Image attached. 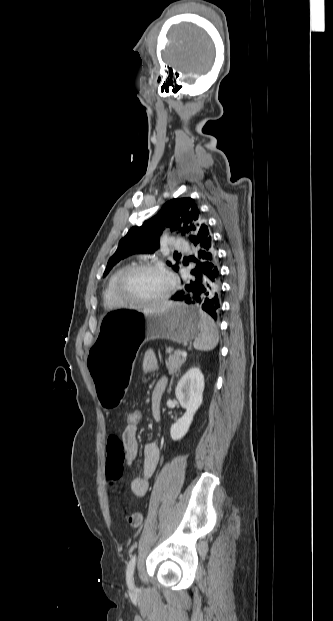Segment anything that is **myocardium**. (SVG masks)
<instances>
[{
    "mask_svg": "<svg viewBox=\"0 0 333 621\" xmlns=\"http://www.w3.org/2000/svg\"><path fill=\"white\" fill-rule=\"evenodd\" d=\"M142 270L157 271V272L162 273L164 276H166V278L168 279L169 285L164 295H162L161 297L157 299H153V300H141V299L131 298L124 293L123 286L127 278L131 276L133 273L137 271H142ZM174 289H175V281L172 275L164 267L163 264L157 263V262H142V263L131 265L122 271V273L118 276L115 282V292L121 305H134V306L159 305V304L166 302L171 297V295L174 292Z\"/></svg>",
    "mask_w": 333,
    "mask_h": 621,
    "instance_id": "myocardium-1",
    "label": "myocardium"
}]
</instances>
